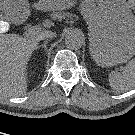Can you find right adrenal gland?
Segmentation results:
<instances>
[{
    "mask_svg": "<svg viewBox=\"0 0 135 135\" xmlns=\"http://www.w3.org/2000/svg\"><path fill=\"white\" fill-rule=\"evenodd\" d=\"M49 41H50V40L47 39L46 41H44V43H43L42 45H39L37 48H38V49H39V48H44L45 51H47V44H48Z\"/></svg>",
    "mask_w": 135,
    "mask_h": 135,
    "instance_id": "2a0ac1e0",
    "label": "right adrenal gland"
}]
</instances>
